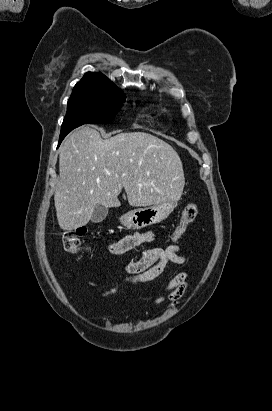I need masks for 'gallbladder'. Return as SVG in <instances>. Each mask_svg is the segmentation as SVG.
I'll return each mask as SVG.
<instances>
[{
	"label": "gallbladder",
	"instance_id": "obj_1",
	"mask_svg": "<svg viewBox=\"0 0 272 411\" xmlns=\"http://www.w3.org/2000/svg\"><path fill=\"white\" fill-rule=\"evenodd\" d=\"M108 214V208L101 204H97L93 210L91 221L93 223L102 222Z\"/></svg>",
	"mask_w": 272,
	"mask_h": 411
}]
</instances>
